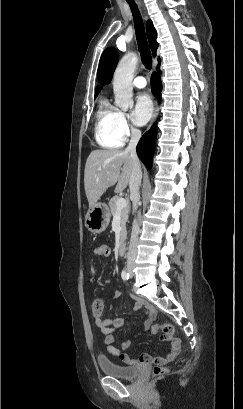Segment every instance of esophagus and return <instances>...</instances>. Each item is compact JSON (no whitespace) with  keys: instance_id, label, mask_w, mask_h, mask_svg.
Returning a JSON list of instances; mask_svg holds the SVG:
<instances>
[{"instance_id":"34e87169","label":"esophagus","mask_w":243,"mask_h":409,"mask_svg":"<svg viewBox=\"0 0 243 409\" xmlns=\"http://www.w3.org/2000/svg\"><path fill=\"white\" fill-rule=\"evenodd\" d=\"M158 115V102L157 100L155 101V110H154V114H153V119H152V124L155 122L156 118Z\"/></svg>"}]
</instances>
